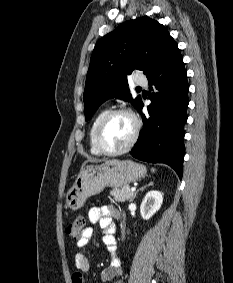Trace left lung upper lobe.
Returning <instances> with one entry per match:
<instances>
[{
    "mask_svg": "<svg viewBox=\"0 0 233 283\" xmlns=\"http://www.w3.org/2000/svg\"><path fill=\"white\" fill-rule=\"evenodd\" d=\"M177 43L159 22L139 17L102 37L92 52L84 90V114L90 119L107 99L117 97L137 109L142 102L129 94L127 75L134 70L147 76Z\"/></svg>",
    "mask_w": 233,
    "mask_h": 283,
    "instance_id": "obj_1",
    "label": "left lung upper lobe"
}]
</instances>
